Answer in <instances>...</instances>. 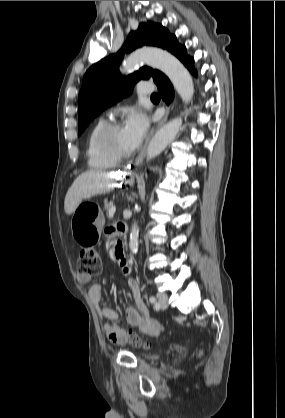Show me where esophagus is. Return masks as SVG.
I'll return each instance as SVG.
<instances>
[{
    "instance_id": "obj_1",
    "label": "esophagus",
    "mask_w": 285,
    "mask_h": 418,
    "mask_svg": "<svg viewBox=\"0 0 285 418\" xmlns=\"http://www.w3.org/2000/svg\"><path fill=\"white\" fill-rule=\"evenodd\" d=\"M167 117H168V108L166 107L163 118L161 119V121L155 127H153V129L150 131L148 137L146 138L144 146H143L141 152L139 153L138 157L136 158V160L134 162V166H138L140 163H142V161L145 157L146 149H147V146H148V143H149L150 139L155 134V132L166 122Z\"/></svg>"
}]
</instances>
